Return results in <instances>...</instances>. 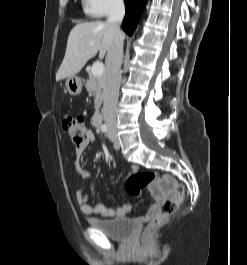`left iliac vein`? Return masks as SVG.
<instances>
[{
	"mask_svg": "<svg viewBox=\"0 0 247 265\" xmlns=\"http://www.w3.org/2000/svg\"><path fill=\"white\" fill-rule=\"evenodd\" d=\"M108 137L113 141L114 148L116 150H119L120 149V141L117 138V136L115 134V131L113 129H109V131H108Z\"/></svg>",
	"mask_w": 247,
	"mask_h": 265,
	"instance_id": "1",
	"label": "left iliac vein"
}]
</instances>
